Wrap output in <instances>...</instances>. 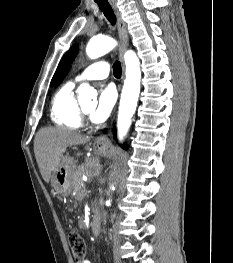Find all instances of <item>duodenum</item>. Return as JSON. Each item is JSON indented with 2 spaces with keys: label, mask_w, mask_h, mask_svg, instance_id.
Returning a JSON list of instances; mask_svg holds the SVG:
<instances>
[{
  "label": "duodenum",
  "mask_w": 233,
  "mask_h": 263,
  "mask_svg": "<svg viewBox=\"0 0 233 263\" xmlns=\"http://www.w3.org/2000/svg\"><path fill=\"white\" fill-rule=\"evenodd\" d=\"M101 230V221L98 215L93 216L91 220V231L92 233L97 236Z\"/></svg>",
  "instance_id": "410a0bca"
}]
</instances>
